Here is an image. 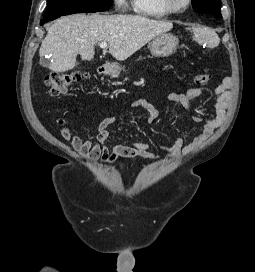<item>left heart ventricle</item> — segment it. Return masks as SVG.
Wrapping results in <instances>:
<instances>
[{"instance_id": "1", "label": "left heart ventricle", "mask_w": 255, "mask_h": 272, "mask_svg": "<svg viewBox=\"0 0 255 272\" xmlns=\"http://www.w3.org/2000/svg\"><path fill=\"white\" fill-rule=\"evenodd\" d=\"M186 0H173L174 5L180 7L183 6L185 4Z\"/></svg>"}]
</instances>
